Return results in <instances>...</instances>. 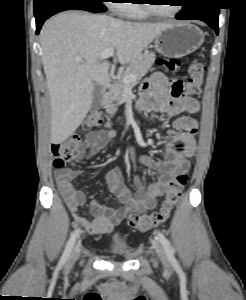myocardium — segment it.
I'll list each match as a JSON object with an SVG mask.
<instances>
[{
	"mask_svg": "<svg viewBox=\"0 0 246 300\" xmlns=\"http://www.w3.org/2000/svg\"><path fill=\"white\" fill-rule=\"evenodd\" d=\"M147 3H144L141 5V7L149 14V15H152V16H155V17H158V18H172V17H175L177 16L181 9H182V6L180 5H177L176 9L171 12V13H168V14H165V13H161L159 12L152 3H150V1H146Z\"/></svg>",
	"mask_w": 246,
	"mask_h": 300,
	"instance_id": "obj_1",
	"label": "myocardium"
}]
</instances>
